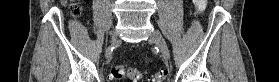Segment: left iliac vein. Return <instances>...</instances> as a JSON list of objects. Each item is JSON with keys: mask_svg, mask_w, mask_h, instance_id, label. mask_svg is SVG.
<instances>
[{"mask_svg": "<svg viewBox=\"0 0 279 82\" xmlns=\"http://www.w3.org/2000/svg\"><path fill=\"white\" fill-rule=\"evenodd\" d=\"M150 38L158 46L163 58L165 60H168L169 59V50H168L167 44H166L164 38L162 37L161 33L157 30H154L152 32V34L150 35Z\"/></svg>", "mask_w": 279, "mask_h": 82, "instance_id": "left-iliac-vein-1", "label": "left iliac vein"}]
</instances>
